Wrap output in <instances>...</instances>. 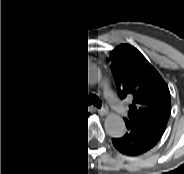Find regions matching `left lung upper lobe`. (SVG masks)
<instances>
[{
    "label": "left lung upper lobe",
    "instance_id": "5c2ea615",
    "mask_svg": "<svg viewBox=\"0 0 184 174\" xmlns=\"http://www.w3.org/2000/svg\"><path fill=\"white\" fill-rule=\"evenodd\" d=\"M112 59L117 94L122 100H131L126 126L162 135L171 113L167 84L134 47L120 46Z\"/></svg>",
    "mask_w": 184,
    "mask_h": 174
}]
</instances>
